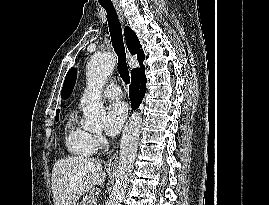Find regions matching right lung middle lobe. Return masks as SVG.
<instances>
[{
    "label": "right lung middle lobe",
    "instance_id": "dd1d6c3e",
    "mask_svg": "<svg viewBox=\"0 0 269 205\" xmlns=\"http://www.w3.org/2000/svg\"><path fill=\"white\" fill-rule=\"evenodd\" d=\"M58 119H59L58 116H56V121H58Z\"/></svg>",
    "mask_w": 269,
    "mask_h": 205
}]
</instances>
